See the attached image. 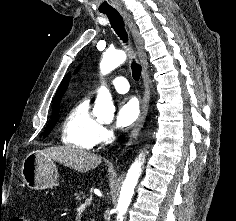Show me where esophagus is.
I'll list each match as a JSON object with an SVG mask.
<instances>
[{"mask_svg": "<svg viewBox=\"0 0 236 221\" xmlns=\"http://www.w3.org/2000/svg\"><path fill=\"white\" fill-rule=\"evenodd\" d=\"M119 12L122 15L123 19L125 20L129 28V31L133 37L137 53H138L140 62L142 64V81H143V97H142L141 112L129 136V140L125 146V149L123 150V151H126L129 148V146H131L134 143V141L136 140L138 136L139 131L144 125V122L148 113V109H149L150 85H149V77H148V62H147L146 52L144 50L143 39L132 17L124 10H120Z\"/></svg>", "mask_w": 236, "mask_h": 221, "instance_id": "34e87169", "label": "esophagus"}]
</instances>
